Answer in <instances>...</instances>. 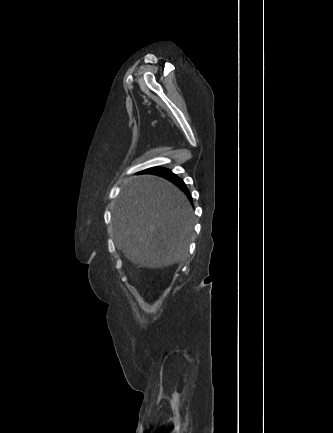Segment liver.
<instances>
[{
  "mask_svg": "<svg viewBox=\"0 0 333 433\" xmlns=\"http://www.w3.org/2000/svg\"><path fill=\"white\" fill-rule=\"evenodd\" d=\"M193 210L186 195L169 181L153 176L130 178L113 210L118 249L133 264L162 268L185 259Z\"/></svg>",
  "mask_w": 333,
  "mask_h": 433,
  "instance_id": "liver-1",
  "label": "liver"
}]
</instances>
